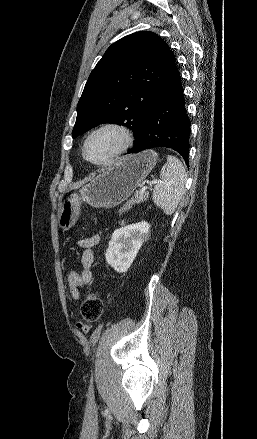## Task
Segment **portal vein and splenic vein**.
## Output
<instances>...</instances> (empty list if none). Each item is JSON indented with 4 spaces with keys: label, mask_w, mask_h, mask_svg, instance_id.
<instances>
[{
    "label": "portal vein and splenic vein",
    "mask_w": 257,
    "mask_h": 439,
    "mask_svg": "<svg viewBox=\"0 0 257 439\" xmlns=\"http://www.w3.org/2000/svg\"><path fill=\"white\" fill-rule=\"evenodd\" d=\"M157 182H158L157 179H153V180L150 182L149 186H152L153 184H156ZM149 186H144V187H142V189L140 190V193H141V194L145 193V192L147 191V189L149 188Z\"/></svg>",
    "instance_id": "obj_1"
}]
</instances>
